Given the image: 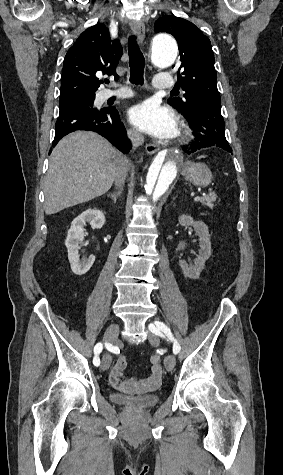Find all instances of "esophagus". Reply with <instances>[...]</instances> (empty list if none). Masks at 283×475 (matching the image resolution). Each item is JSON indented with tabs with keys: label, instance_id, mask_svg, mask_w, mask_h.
<instances>
[{
	"label": "esophagus",
	"instance_id": "esophagus-1",
	"mask_svg": "<svg viewBox=\"0 0 283 475\" xmlns=\"http://www.w3.org/2000/svg\"><path fill=\"white\" fill-rule=\"evenodd\" d=\"M130 27L133 30V32L135 33L138 42L143 43V41L145 39V35H146V29H145L144 23L141 22V21L132 20L131 23H130ZM159 149H160V146L157 145V144H148V145H146V152L150 155L153 154V153L158 152Z\"/></svg>",
	"mask_w": 283,
	"mask_h": 475
}]
</instances>
